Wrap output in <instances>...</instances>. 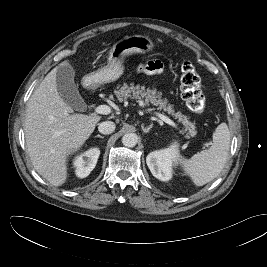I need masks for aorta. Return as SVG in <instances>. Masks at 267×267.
I'll return each mask as SVG.
<instances>
[{
    "instance_id": "aorta-1",
    "label": "aorta",
    "mask_w": 267,
    "mask_h": 267,
    "mask_svg": "<svg viewBox=\"0 0 267 267\" xmlns=\"http://www.w3.org/2000/svg\"><path fill=\"white\" fill-rule=\"evenodd\" d=\"M138 142V136L135 133H126L122 137V143L126 147H134Z\"/></svg>"
}]
</instances>
